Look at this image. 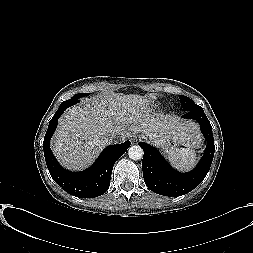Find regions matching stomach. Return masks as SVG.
I'll return each instance as SVG.
<instances>
[{
    "instance_id": "stomach-1",
    "label": "stomach",
    "mask_w": 253,
    "mask_h": 253,
    "mask_svg": "<svg viewBox=\"0 0 253 253\" xmlns=\"http://www.w3.org/2000/svg\"><path fill=\"white\" fill-rule=\"evenodd\" d=\"M179 145H181L179 140L169 138L166 139L163 143L159 144L158 146L164 154L169 155V153L172 150L176 149Z\"/></svg>"
}]
</instances>
